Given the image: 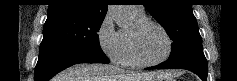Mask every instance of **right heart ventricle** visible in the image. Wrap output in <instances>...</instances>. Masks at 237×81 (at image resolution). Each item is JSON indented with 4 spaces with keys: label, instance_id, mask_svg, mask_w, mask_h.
Instances as JSON below:
<instances>
[{
    "label": "right heart ventricle",
    "instance_id": "e07e8e85",
    "mask_svg": "<svg viewBox=\"0 0 237 81\" xmlns=\"http://www.w3.org/2000/svg\"><path fill=\"white\" fill-rule=\"evenodd\" d=\"M129 16L133 20L134 23L145 19V14H136V13L129 12ZM119 33H120L121 42H122V54H121L120 62L126 66H135L136 64L133 61L130 54V50H129L128 32L122 30Z\"/></svg>",
    "mask_w": 237,
    "mask_h": 81
}]
</instances>
